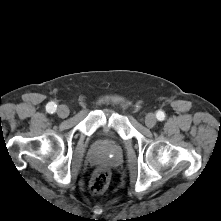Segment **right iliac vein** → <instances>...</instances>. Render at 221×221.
<instances>
[{
    "instance_id": "obj_1",
    "label": "right iliac vein",
    "mask_w": 221,
    "mask_h": 221,
    "mask_svg": "<svg viewBox=\"0 0 221 221\" xmlns=\"http://www.w3.org/2000/svg\"><path fill=\"white\" fill-rule=\"evenodd\" d=\"M57 114L60 118H66L69 115V108L66 105H60Z\"/></svg>"
}]
</instances>
